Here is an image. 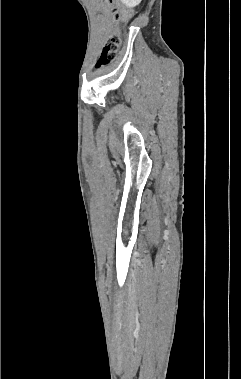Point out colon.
<instances>
[{"label":"colon","instance_id":"5ec220e1","mask_svg":"<svg viewBox=\"0 0 241 379\" xmlns=\"http://www.w3.org/2000/svg\"><path fill=\"white\" fill-rule=\"evenodd\" d=\"M109 9L114 20L123 21L125 25H130L133 15V8H116L115 0H101ZM120 37L118 32L110 34L100 53L97 67L101 68L115 60L117 55Z\"/></svg>","mask_w":241,"mask_h":379}]
</instances>
